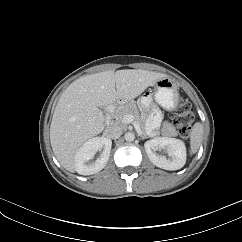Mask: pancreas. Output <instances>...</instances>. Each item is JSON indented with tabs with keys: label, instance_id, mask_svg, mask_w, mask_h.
Returning <instances> with one entry per match:
<instances>
[{
	"label": "pancreas",
	"instance_id": "pancreas-1",
	"mask_svg": "<svg viewBox=\"0 0 242 242\" xmlns=\"http://www.w3.org/2000/svg\"><path fill=\"white\" fill-rule=\"evenodd\" d=\"M127 114H131L134 117V120L139 124L141 129L144 130V124L140 120L139 113L135 103H126L121 106H118L113 113L115 122L118 124H124L122 122V117ZM162 132L166 136H174L177 134L173 125L168 122L163 125Z\"/></svg>",
	"mask_w": 242,
	"mask_h": 242
}]
</instances>
